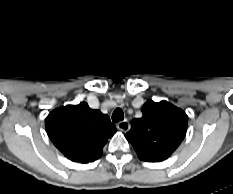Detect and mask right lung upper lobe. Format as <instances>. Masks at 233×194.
<instances>
[{"instance_id":"right-lung-upper-lobe-1","label":"right lung upper lobe","mask_w":233,"mask_h":194,"mask_svg":"<svg viewBox=\"0 0 233 194\" xmlns=\"http://www.w3.org/2000/svg\"><path fill=\"white\" fill-rule=\"evenodd\" d=\"M53 144L71 161L88 163L99 159L116 127L107 115L82 102L52 111L45 119Z\"/></svg>"}]
</instances>
